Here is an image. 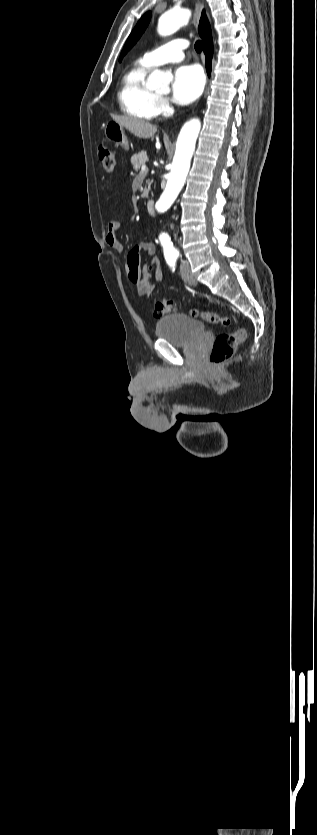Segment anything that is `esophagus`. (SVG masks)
<instances>
[{
    "label": "esophagus",
    "mask_w": 317,
    "mask_h": 835,
    "mask_svg": "<svg viewBox=\"0 0 317 835\" xmlns=\"http://www.w3.org/2000/svg\"><path fill=\"white\" fill-rule=\"evenodd\" d=\"M202 10H203V2L201 0H197L196 5H195L194 15H193V23L196 27H198V25H199V20H200V17H201Z\"/></svg>",
    "instance_id": "obj_1"
}]
</instances>
